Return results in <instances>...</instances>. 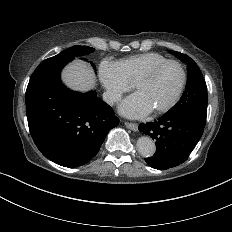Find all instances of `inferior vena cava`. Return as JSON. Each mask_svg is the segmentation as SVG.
<instances>
[{
	"label": "inferior vena cava",
	"instance_id": "602c4592",
	"mask_svg": "<svg viewBox=\"0 0 232 232\" xmlns=\"http://www.w3.org/2000/svg\"><path fill=\"white\" fill-rule=\"evenodd\" d=\"M103 99L107 104H112V102L114 101V96H113L112 92L105 91L103 93Z\"/></svg>",
	"mask_w": 232,
	"mask_h": 232
}]
</instances>
